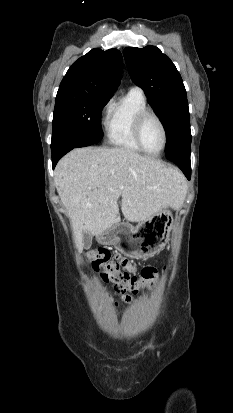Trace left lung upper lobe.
Masks as SVG:
<instances>
[{"instance_id":"obj_1","label":"left lung upper lobe","mask_w":233,"mask_h":413,"mask_svg":"<svg viewBox=\"0 0 233 413\" xmlns=\"http://www.w3.org/2000/svg\"><path fill=\"white\" fill-rule=\"evenodd\" d=\"M124 57L133 82L144 90L166 129L167 158H190L188 101L175 65L155 46L127 47Z\"/></svg>"}]
</instances>
